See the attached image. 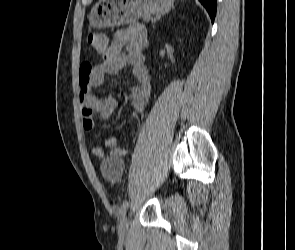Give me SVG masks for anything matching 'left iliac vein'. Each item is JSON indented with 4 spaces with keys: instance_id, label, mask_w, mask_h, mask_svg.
Wrapping results in <instances>:
<instances>
[{
    "instance_id": "obj_1",
    "label": "left iliac vein",
    "mask_w": 295,
    "mask_h": 250,
    "mask_svg": "<svg viewBox=\"0 0 295 250\" xmlns=\"http://www.w3.org/2000/svg\"><path fill=\"white\" fill-rule=\"evenodd\" d=\"M127 231H128V222H127V219L124 215L122 217V219L120 220V224L118 227V233L121 237H125L127 235Z\"/></svg>"
}]
</instances>
